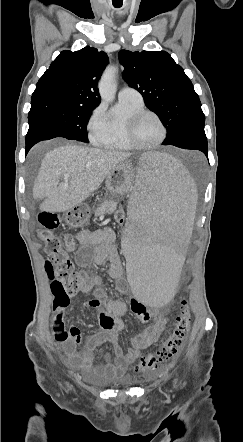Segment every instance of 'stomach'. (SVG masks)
Instances as JSON below:
<instances>
[{"mask_svg":"<svg viewBox=\"0 0 243 442\" xmlns=\"http://www.w3.org/2000/svg\"><path fill=\"white\" fill-rule=\"evenodd\" d=\"M134 168L128 161L116 165L106 177V188L113 194L125 195L130 192L133 183ZM66 224L72 228L81 227L89 220L86 207L77 205L64 214Z\"/></svg>","mask_w":243,"mask_h":442,"instance_id":"0dacf381","label":"stomach"}]
</instances>
